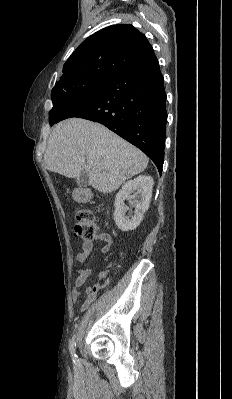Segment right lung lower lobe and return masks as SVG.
<instances>
[{
  "mask_svg": "<svg viewBox=\"0 0 232 399\" xmlns=\"http://www.w3.org/2000/svg\"><path fill=\"white\" fill-rule=\"evenodd\" d=\"M164 79L155 54L118 72L89 97L68 104L55 123L79 117L101 123L142 150L162 172L167 122Z\"/></svg>",
  "mask_w": 232,
  "mask_h": 399,
  "instance_id": "obj_1",
  "label": "right lung lower lobe"
}]
</instances>
